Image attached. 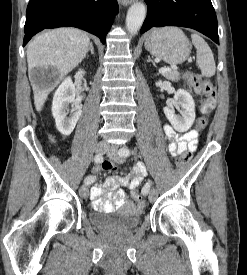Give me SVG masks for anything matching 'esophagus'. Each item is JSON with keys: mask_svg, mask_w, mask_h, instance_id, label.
<instances>
[{"mask_svg": "<svg viewBox=\"0 0 247 275\" xmlns=\"http://www.w3.org/2000/svg\"><path fill=\"white\" fill-rule=\"evenodd\" d=\"M118 1H119V3H120L121 5H123V6H128V5L131 4L132 1H134V0H118Z\"/></svg>", "mask_w": 247, "mask_h": 275, "instance_id": "1", "label": "esophagus"}]
</instances>
